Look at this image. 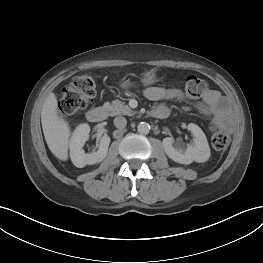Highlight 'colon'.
Wrapping results in <instances>:
<instances>
[{"mask_svg": "<svg viewBox=\"0 0 263 263\" xmlns=\"http://www.w3.org/2000/svg\"><path fill=\"white\" fill-rule=\"evenodd\" d=\"M206 82L196 76H188L184 82V91L190 98H200L206 92ZM96 81L92 76L75 77L62 91L59 111L63 116H71L82 110L96 96ZM229 135L217 125L212 126L211 143L214 149L224 150L229 145Z\"/></svg>", "mask_w": 263, "mask_h": 263, "instance_id": "obj_1", "label": "colon"}]
</instances>
